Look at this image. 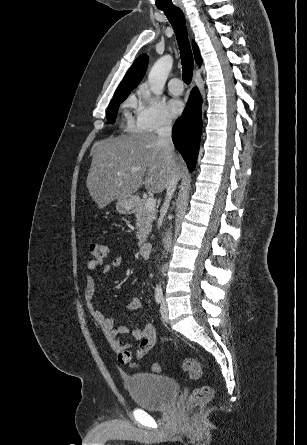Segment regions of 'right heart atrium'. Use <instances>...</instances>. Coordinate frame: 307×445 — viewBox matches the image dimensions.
Instances as JSON below:
<instances>
[{
  "instance_id": "d8ad5b80",
  "label": "right heart atrium",
  "mask_w": 307,
  "mask_h": 445,
  "mask_svg": "<svg viewBox=\"0 0 307 445\" xmlns=\"http://www.w3.org/2000/svg\"><path fill=\"white\" fill-rule=\"evenodd\" d=\"M139 108L137 110V124L147 133H163L168 130L173 119L165 104L155 98L146 87H141L136 96Z\"/></svg>"
}]
</instances>
